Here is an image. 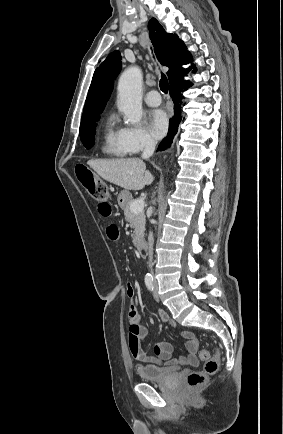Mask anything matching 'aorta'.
<instances>
[{
    "mask_svg": "<svg viewBox=\"0 0 283 434\" xmlns=\"http://www.w3.org/2000/svg\"><path fill=\"white\" fill-rule=\"evenodd\" d=\"M118 108L126 124L138 125L142 119V72L136 66L126 69L118 81Z\"/></svg>",
    "mask_w": 283,
    "mask_h": 434,
    "instance_id": "obj_1",
    "label": "aorta"
}]
</instances>
